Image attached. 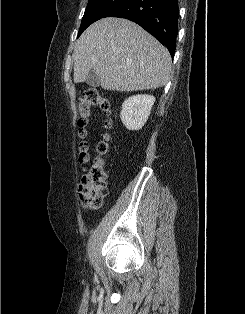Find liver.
Masks as SVG:
<instances>
[{
	"mask_svg": "<svg viewBox=\"0 0 245 314\" xmlns=\"http://www.w3.org/2000/svg\"><path fill=\"white\" fill-rule=\"evenodd\" d=\"M74 82H85L91 70L111 91H139L166 85L170 77L169 51L136 23L108 17L90 25L77 40Z\"/></svg>",
	"mask_w": 245,
	"mask_h": 314,
	"instance_id": "liver-1",
	"label": "liver"
}]
</instances>
